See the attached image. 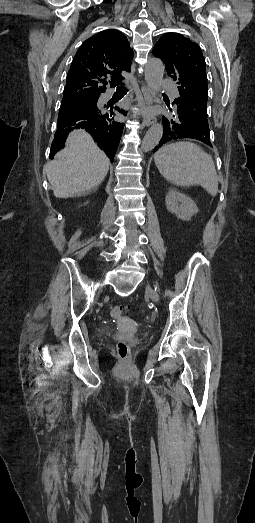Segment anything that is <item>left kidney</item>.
I'll list each match as a JSON object with an SVG mask.
<instances>
[{
    "label": "left kidney",
    "mask_w": 255,
    "mask_h": 523,
    "mask_svg": "<svg viewBox=\"0 0 255 523\" xmlns=\"http://www.w3.org/2000/svg\"><path fill=\"white\" fill-rule=\"evenodd\" d=\"M165 202L168 212L176 214L180 220H190V218L198 212L195 202H193L189 196L180 194V192H177L174 188L168 190ZM179 202H181V204H179Z\"/></svg>",
    "instance_id": "1"
}]
</instances>
